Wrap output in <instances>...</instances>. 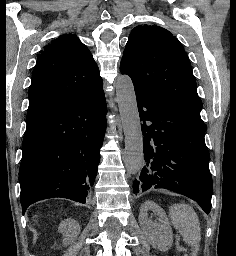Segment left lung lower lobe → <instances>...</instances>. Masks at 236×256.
<instances>
[{
	"label": "left lung lower lobe",
	"mask_w": 236,
	"mask_h": 256,
	"mask_svg": "<svg viewBox=\"0 0 236 256\" xmlns=\"http://www.w3.org/2000/svg\"><path fill=\"white\" fill-rule=\"evenodd\" d=\"M135 93L143 121L145 167L133 183L134 193L167 188L195 200L208 214L213 183L204 140L205 123L200 116Z\"/></svg>",
	"instance_id": "0a47b994"
}]
</instances>
